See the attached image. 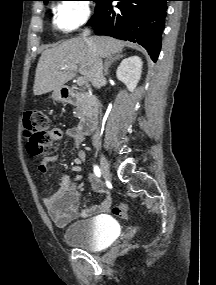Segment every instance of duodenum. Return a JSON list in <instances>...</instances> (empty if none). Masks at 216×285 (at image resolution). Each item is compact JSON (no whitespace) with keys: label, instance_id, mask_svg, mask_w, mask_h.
<instances>
[{"label":"duodenum","instance_id":"1","mask_svg":"<svg viewBox=\"0 0 216 285\" xmlns=\"http://www.w3.org/2000/svg\"><path fill=\"white\" fill-rule=\"evenodd\" d=\"M61 97L65 102H83L85 105L84 113L81 118L79 129L84 135L91 134L97 125L99 117V101L96 96L89 92H80L70 87L61 90Z\"/></svg>","mask_w":216,"mask_h":285}]
</instances>
